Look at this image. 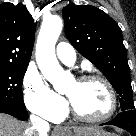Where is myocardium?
I'll return each mask as SVG.
<instances>
[{
    "mask_svg": "<svg viewBox=\"0 0 136 136\" xmlns=\"http://www.w3.org/2000/svg\"><path fill=\"white\" fill-rule=\"evenodd\" d=\"M76 81L80 83L88 82V81L101 82L108 90V93L110 96V108L105 114L101 116L87 117L79 113L77 109L74 107L73 103L69 99L68 108L74 118H76L79 121L86 122V123H101V122L108 120L110 117L113 116V114L115 113L117 109L118 99H117L116 91L108 79L98 74H86V75H82L78 77Z\"/></svg>",
    "mask_w": 136,
    "mask_h": 136,
    "instance_id": "f54148a6",
    "label": "myocardium"
}]
</instances>
